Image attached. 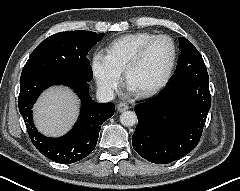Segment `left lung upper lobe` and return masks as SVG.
<instances>
[{
    "label": "left lung upper lobe",
    "mask_w": 240,
    "mask_h": 191,
    "mask_svg": "<svg viewBox=\"0 0 240 191\" xmlns=\"http://www.w3.org/2000/svg\"><path fill=\"white\" fill-rule=\"evenodd\" d=\"M179 44L181 49V56L178 61V66L188 67L191 70H204L206 66L202 56L190 41L186 38L179 37Z\"/></svg>",
    "instance_id": "1"
}]
</instances>
